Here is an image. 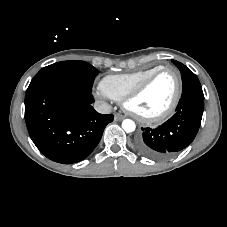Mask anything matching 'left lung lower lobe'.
<instances>
[{
	"label": "left lung lower lobe",
	"instance_id": "0a47b994",
	"mask_svg": "<svg viewBox=\"0 0 227 227\" xmlns=\"http://www.w3.org/2000/svg\"><path fill=\"white\" fill-rule=\"evenodd\" d=\"M203 92L181 95L176 113L161 126L141 128L135 141L142 155L155 160L167 159L186 148L195 138L201 124L204 109Z\"/></svg>",
	"mask_w": 227,
	"mask_h": 227
}]
</instances>
